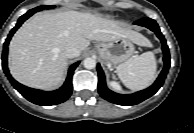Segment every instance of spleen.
I'll return each instance as SVG.
<instances>
[{
    "instance_id": "spleen-1",
    "label": "spleen",
    "mask_w": 194,
    "mask_h": 133,
    "mask_svg": "<svg viewBox=\"0 0 194 133\" xmlns=\"http://www.w3.org/2000/svg\"><path fill=\"white\" fill-rule=\"evenodd\" d=\"M156 59L153 52L135 55L116 68L122 83L129 89L138 91L150 86L156 74Z\"/></svg>"
}]
</instances>
